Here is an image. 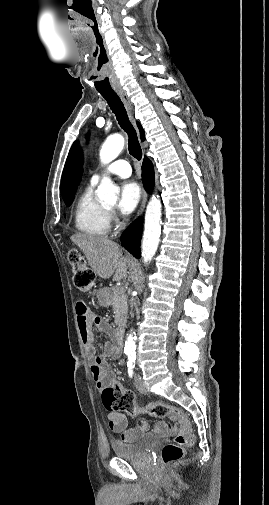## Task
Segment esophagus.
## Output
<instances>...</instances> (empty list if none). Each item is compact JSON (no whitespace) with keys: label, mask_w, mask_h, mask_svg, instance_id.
<instances>
[{"label":"esophagus","mask_w":269,"mask_h":505,"mask_svg":"<svg viewBox=\"0 0 269 505\" xmlns=\"http://www.w3.org/2000/svg\"><path fill=\"white\" fill-rule=\"evenodd\" d=\"M116 92L119 95V97L121 98V100L127 110L130 120L135 124L134 113H133V104H132L129 96L127 95V93L124 89H117ZM146 200H147V193L144 192L138 215H141L143 213V210H144V207L146 204Z\"/></svg>","instance_id":"esophagus-1"}]
</instances>
